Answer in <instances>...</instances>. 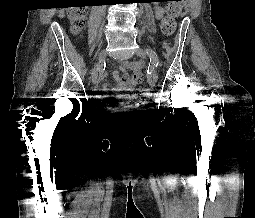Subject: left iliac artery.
<instances>
[{
  "label": "left iliac artery",
  "mask_w": 255,
  "mask_h": 218,
  "mask_svg": "<svg viewBox=\"0 0 255 218\" xmlns=\"http://www.w3.org/2000/svg\"><path fill=\"white\" fill-rule=\"evenodd\" d=\"M146 53L149 55L150 57V62L153 66L158 67L159 65V59L158 56L156 54V52L152 49H146Z\"/></svg>",
  "instance_id": "obj_1"
}]
</instances>
